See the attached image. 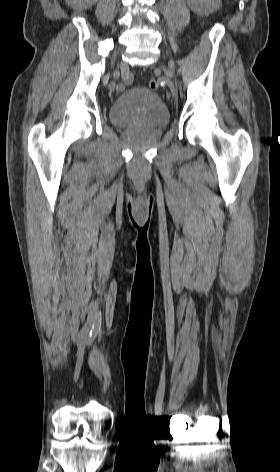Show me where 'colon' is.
Here are the masks:
<instances>
[{"label":"colon","mask_w":280,"mask_h":472,"mask_svg":"<svg viewBox=\"0 0 280 472\" xmlns=\"http://www.w3.org/2000/svg\"><path fill=\"white\" fill-rule=\"evenodd\" d=\"M148 85L153 90H156L159 87V84L155 79H150Z\"/></svg>","instance_id":"1"}]
</instances>
